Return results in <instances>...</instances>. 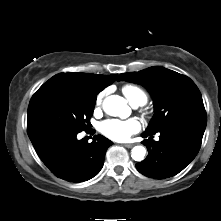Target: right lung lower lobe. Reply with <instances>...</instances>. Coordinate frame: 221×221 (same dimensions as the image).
Segmentation results:
<instances>
[{
    "label": "right lung lower lobe",
    "instance_id": "98d812e1",
    "mask_svg": "<svg viewBox=\"0 0 221 221\" xmlns=\"http://www.w3.org/2000/svg\"><path fill=\"white\" fill-rule=\"evenodd\" d=\"M78 133L59 129H39L28 136L43 163L58 178L83 182L103 167L105 153L113 144L98 135L91 143L77 140Z\"/></svg>",
    "mask_w": 221,
    "mask_h": 221
}]
</instances>
